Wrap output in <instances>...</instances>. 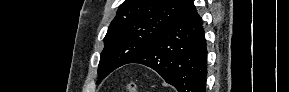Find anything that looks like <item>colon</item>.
Here are the masks:
<instances>
[{"mask_svg": "<svg viewBox=\"0 0 289 92\" xmlns=\"http://www.w3.org/2000/svg\"><path fill=\"white\" fill-rule=\"evenodd\" d=\"M126 90H127L128 92H138L136 83L133 82V81H129V82L126 84Z\"/></svg>", "mask_w": 289, "mask_h": 92, "instance_id": "5ec220e1", "label": "colon"}]
</instances>
